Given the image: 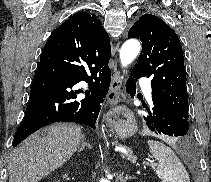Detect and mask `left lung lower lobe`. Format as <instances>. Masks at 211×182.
Instances as JSON below:
<instances>
[{"label":"left lung lower lobe","mask_w":211,"mask_h":182,"mask_svg":"<svg viewBox=\"0 0 211 182\" xmlns=\"http://www.w3.org/2000/svg\"><path fill=\"white\" fill-rule=\"evenodd\" d=\"M139 78L140 76L132 71L126 83V91L132 98L136 93L135 81ZM146 109L149 115L145 120L151 131L172 137H179L178 141L181 146H190L191 140L188 133L189 123L187 119L181 117L175 110L160 102H153V107Z\"/></svg>","instance_id":"left-lung-lower-lobe-1"}]
</instances>
